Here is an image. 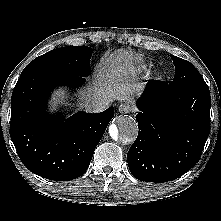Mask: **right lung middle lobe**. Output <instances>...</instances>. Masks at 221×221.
<instances>
[{"label": "right lung middle lobe", "mask_w": 221, "mask_h": 221, "mask_svg": "<svg viewBox=\"0 0 221 221\" xmlns=\"http://www.w3.org/2000/svg\"><path fill=\"white\" fill-rule=\"evenodd\" d=\"M92 52L87 46L57 48L35 58L24 68L21 75L38 71L83 77L90 74Z\"/></svg>", "instance_id": "obj_1"}]
</instances>
